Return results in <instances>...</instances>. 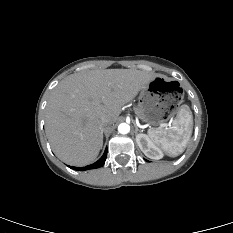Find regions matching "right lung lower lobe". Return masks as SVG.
Returning a JSON list of instances; mask_svg holds the SVG:
<instances>
[{"label":"right lung lower lobe","mask_w":233,"mask_h":233,"mask_svg":"<svg viewBox=\"0 0 233 233\" xmlns=\"http://www.w3.org/2000/svg\"><path fill=\"white\" fill-rule=\"evenodd\" d=\"M106 156H107V148L105 149V152H104L103 156L97 162H95L94 164H91V165H88V166H85V167H81V168L70 166V168L74 169V170H81V171H85V170H88V169H96V168L102 167L104 165L105 160H106Z\"/></svg>","instance_id":"1"}]
</instances>
